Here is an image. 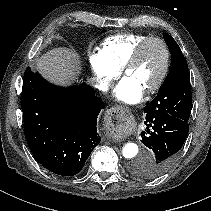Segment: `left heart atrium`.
Wrapping results in <instances>:
<instances>
[{
    "instance_id": "1",
    "label": "left heart atrium",
    "mask_w": 211,
    "mask_h": 211,
    "mask_svg": "<svg viewBox=\"0 0 211 211\" xmlns=\"http://www.w3.org/2000/svg\"><path fill=\"white\" fill-rule=\"evenodd\" d=\"M143 88L131 77L125 76L116 86L114 96L117 100L133 104L142 98Z\"/></svg>"
}]
</instances>
